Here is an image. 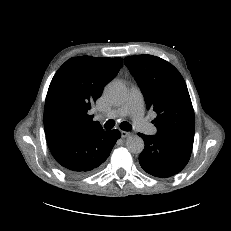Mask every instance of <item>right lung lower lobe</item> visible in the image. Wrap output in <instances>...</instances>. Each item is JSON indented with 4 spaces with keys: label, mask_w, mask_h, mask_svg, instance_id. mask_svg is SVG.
Instances as JSON below:
<instances>
[{
    "label": "right lung lower lobe",
    "mask_w": 231,
    "mask_h": 231,
    "mask_svg": "<svg viewBox=\"0 0 231 231\" xmlns=\"http://www.w3.org/2000/svg\"><path fill=\"white\" fill-rule=\"evenodd\" d=\"M118 130L103 129L47 139L48 147L63 171L82 176L95 171L120 138Z\"/></svg>",
    "instance_id": "1"
}]
</instances>
